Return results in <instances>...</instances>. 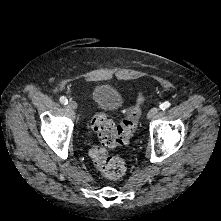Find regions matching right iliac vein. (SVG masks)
Wrapping results in <instances>:
<instances>
[{"instance_id": "1", "label": "right iliac vein", "mask_w": 221, "mask_h": 221, "mask_svg": "<svg viewBox=\"0 0 221 221\" xmlns=\"http://www.w3.org/2000/svg\"><path fill=\"white\" fill-rule=\"evenodd\" d=\"M68 108L71 110H76L77 109V103L73 100H70L68 103Z\"/></svg>"}]
</instances>
